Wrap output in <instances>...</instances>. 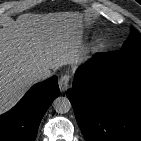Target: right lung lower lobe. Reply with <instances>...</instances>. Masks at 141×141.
<instances>
[{
	"label": "right lung lower lobe",
	"instance_id": "obj_1",
	"mask_svg": "<svg viewBox=\"0 0 141 141\" xmlns=\"http://www.w3.org/2000/svg\"><path fill=\"white\" fill-rule=\"evenodd\" d=\"M57 80L53 76L34 85L14 108L0 115V141H35L45 112L60 95Z\"/></svg>",
	"mask_w": 141,
	"mask_h": 141
}]
</instances>
